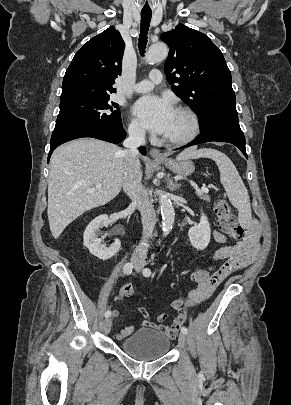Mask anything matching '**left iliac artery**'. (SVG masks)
Wrapping results in <instances>:
<instances>
[{
  "instance_id": "obj_1",
  "label": "left iliac artery",
  "mask_w": 291,
  "mask_h": 405,
  "mask_svg": "<svg viewBox=\"0 0 291 405\" xmlns=\"http://www.w3.org/2000/svg\"><path fill=\"white\" fill-rule=\"evenodd\" d=\"M143 275H144L145 277H149V276L151 275V270H150L149 268H144V269H143ZM181 332L186 335V334L188 333V329L183 326V327L181 328Z\"/></svg>"
}]
</instances>
